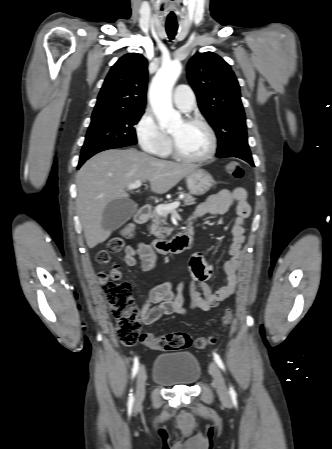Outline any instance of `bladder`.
I'll return each instance as SVG.
<instances>
[{
    "label": "bladder",
    "mask_w": 332,
    "mask_h": 449,
    "mask_svg": "<svg viewBox=\"0 0 332 449\" xmlns=\"http://www.w3.org/2000/svg\"><path fill=\"white\" fill-rule=\"evenodd\" d=\"M201 376V364L191 352L164 353L156 357L152 378L167 387L190 386Z\"/></svg>",
    "instance_id": "obj_1"
}]
</instances>
